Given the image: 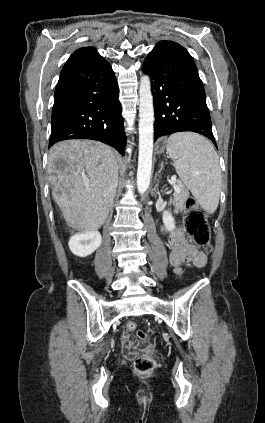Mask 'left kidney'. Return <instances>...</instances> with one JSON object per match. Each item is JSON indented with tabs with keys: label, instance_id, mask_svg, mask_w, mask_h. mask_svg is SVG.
<instances>
[{
	"label": "left kidney",
	"instance_id": "1",
	"mask_svg": "<svg viewBox=\"0 0 265 423\" xmlns=\"http://www.w3.org/2000/svg\"><path fill=\"white\" fill-rule=\"evenodd\" d=\"M163 223L168 231H173L175 229L174 218L169 211H163Z\"/></svg>",
	"mask_w": 265,
	"mask_h": 423
}]
</instances>
